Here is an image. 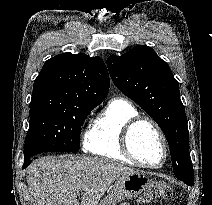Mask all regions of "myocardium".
Wrapping results in <instances>:
<instances>
[{"instance_id":"f54148a6","label":"myocardium","mask_w":212,"mask_h":205,"mask_svg":"<svg viewBox=\"0 0 212 205\" xmlns=\"http://www.w3.org/2000/svg\"><path fill=\"white\" fill-rule=\"evenodd\" d=\"M142 123H147L150 126H152L161 140L162 147H163V158L158 164H149V163L141 161L136 156V154L134 153V151L132 149V145H131L132 133H133L134 129ZM121 146H122V150L126 154V156H128L135 164L142 166V167L159 168L166 162V160L168 158L169 150H168V143H167L166 136H165L163 130L161 129V127L157 124V122H155L153 119H151L149 117H144V116L134 117L124 126L122 134H121Z\"/></svg>"}]
</instances>
